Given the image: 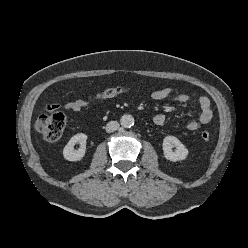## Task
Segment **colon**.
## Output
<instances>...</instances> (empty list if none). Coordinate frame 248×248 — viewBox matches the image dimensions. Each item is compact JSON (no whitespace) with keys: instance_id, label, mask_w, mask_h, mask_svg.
Listing matches in <instances>:
<instances>
[{"instance_id":"obj_1","label":"colon","mask_w":248,"mask_h":248,"mask_svg":"<svg viewBox=\"0 0 248 248\" xmlns=\"http://www.w3.org/2000/svg\"><path fill=\"white\" fill-rule=\"evenodd\" d=\"M124 91H126V88L123 86L107 87L90 94L87 98V101L93 103L112 99L123 93ZM65 125L66 119L61 112L43 114L38 117L35 123V127L38 133L45 141L49 142L56 141L62 136ZM201 138L205 142L209 141L210 133L208 131L202 132Z\"/></svg>"}]
</instances>
